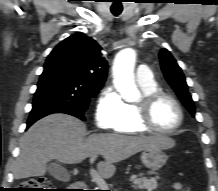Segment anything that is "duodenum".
<instances>
[{
  "mask_svg": "<svg viewBox=\"0 0 218 191\" xmlns=\"http://www.w3.org/2000/svg\"><path fill=\"white\" fill-rule=\"evenodd\" d=\"M87 183L84 180H79L71 191H86Z\"/></svg>",
  "mask_w": 218,
  "mask_h": 191,
  "instance_id": "duodenum-1",
  "label": "duodenum"
}]
</instances>
